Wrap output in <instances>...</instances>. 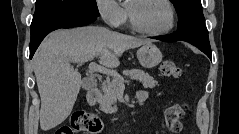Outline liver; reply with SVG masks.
<instances>
[{
	"mask_svg": "<svg viewBox=\"0 0 239 134\" xmlns=\"http://www.w3.org/2000/svg\"><path fill=\"white\" fill-rule=\"evenodd\" d=\"M149 42L99 26L57 30L49 34L33 57L41 98V129L47 131L58 126L73 109L82 80L72 64L99 57L100 64L115 68L124 51Z\"/></svg>",
	"mask_w": 239,
	"mask_h": 134,
	"instance_id": "6515ba94",
	"label": "liver"
}]
</instances>
